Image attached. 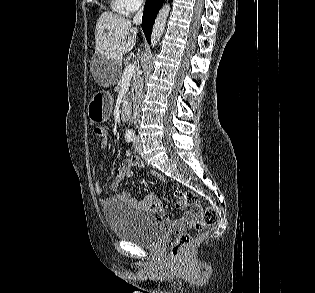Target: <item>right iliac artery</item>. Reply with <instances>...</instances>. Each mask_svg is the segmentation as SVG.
<instances>
[{"instance_id":"right-iliac-artery-1","label":"right iliac artery","mask_w":315,"mask_h":293,"mask_svg":"<svg viewBox=\"0 0 315 293\" xmlns=\"http://www.w3.org/2000/svg\"><path fill=\"white\" fill-rule=\"evenodd\" d=\"M134 138H135V135L133 132H127L125 134V139L127 142H132L134 140Z\"/></svg>"}]
</instances>
